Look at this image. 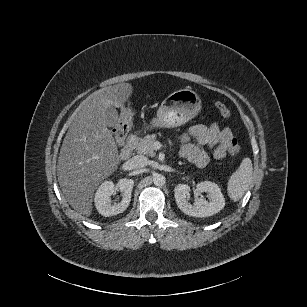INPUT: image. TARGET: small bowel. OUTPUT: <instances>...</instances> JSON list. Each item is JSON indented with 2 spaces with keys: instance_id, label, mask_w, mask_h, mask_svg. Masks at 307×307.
Returning a JSON list of instances; mask_svg holds the SVG:
<instances>
[{
  "instance_id": "c3829d8e",
  "label": "small bowel",
  "mask_w": 307,
  "mask_h": 307,
  "mask_svg": "<svg viewBox=\"0 0 307 307\" xmlns=\"http://www.w3.org/2000/svg\"><path fill=\"white\" fill-rule=\"evenodd\" d=\"M234 139L229 126L221 128L215 121L194 125L181 137L179 155L198 167H205L211 160L223 159Z\"/></svg>"
}]
</instances>
